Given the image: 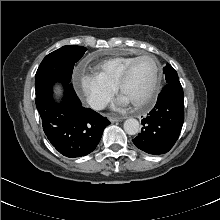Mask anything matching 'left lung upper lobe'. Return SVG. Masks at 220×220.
<instances>
[{"mask_svg": "<svg viewBox=\"0 0 220 220\" xmlns=\"http://www.w3.org/2000/svg\"><path fill=\"white\" fill-rule=\"evenodd\" d=\"M163 72L165 74L166 82L167 83H170V82L178 80L177 72L175 71V69L170 64H167L164 67Z\"/></svg>", "mask_w": 220, "mask_h": 220, "instance_id": "1", "label": "left lung upper lobe"}]
</instances>
